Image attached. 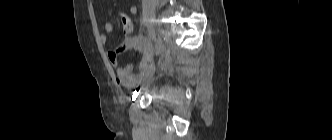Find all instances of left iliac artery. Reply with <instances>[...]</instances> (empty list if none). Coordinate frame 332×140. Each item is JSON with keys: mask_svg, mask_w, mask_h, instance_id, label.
<instances>
[{"mask_svg": "<svg viewBox=\"0 0 332 140\" xmlns=\"http://www.w3.org/2000/svg\"><path fill=\"white\" fill-rule=\"evenodd\" d=\"M149 35H150V38L152 39V41L156 40V33L153 29L150 30Z\"/></svg>", "mask_w": 332, "mask_h": 140, "instance_id": "left-iliac-artery-1", "label": "left iliac artery"}]
</instances>
